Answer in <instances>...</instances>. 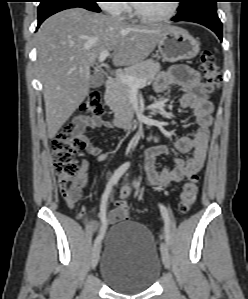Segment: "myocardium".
<instances>
[{"instance_id":"1","label":"myocardium","mask_w":248,"mask_h":299,"mask_svg":"<svg viewBox=\"0 0 248 299\" xmlns=\"http://www.w3.org/2000/svg\"><path fill=\"white\" fill-rule=\"evenodd\" d=\"M170 1V8H169V11L165 14V15H162V16H159V17H151V16H147V15H144L138 8V4L135 3V4H132V12H133V15L141 22L143 23H162V22H166L170 19H172L177 11H178V3L176 0H169Z\"/></svg>"}]
</instances>
